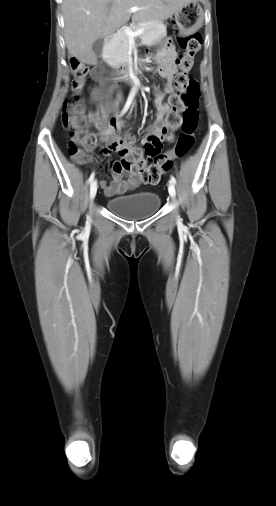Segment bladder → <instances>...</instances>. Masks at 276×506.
Wrapping results in <instances>:
<instances>
[{"instance_id":"bladder-1","label":"bladder","mask_w":276,"mask_h":506,"mask_svg":"<svg viewBox=\"0 0 276 506\" xmlns=\"http://www.w3.org/2000/svg\"><path fill=\"white\" fill-rule=\"evenodd\" d=\"M161 205V198L151 191L109 198L106 206L114 214L127 219H141L154 214Z\"/></svg>"}]
</instances>
